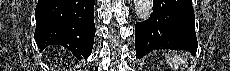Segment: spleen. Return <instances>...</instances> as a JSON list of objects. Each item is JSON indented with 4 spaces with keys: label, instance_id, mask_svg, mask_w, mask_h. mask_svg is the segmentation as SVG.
I'll return each mask as SVG.
<instances>
[{
    "label": "spleen",
    "instance_id": "obj_1",
    "mask_svg": "<svg viewBox=\"0 0 230 71\" xmlns=\"http://www.w3.org/2000/svg\"><path fill=\"white\" fill-rule=\"evenodd\" d=\"M167 62H168V64H169L172 68L176 69V68H178L179 65H181L182 63L185 64L186 59L183 60V58H181V55L175 54V55H173V56H168V57H167Z\"/></svg>",
    "mask_w": 230,
    "mask_h": 71
}]
</instances>
